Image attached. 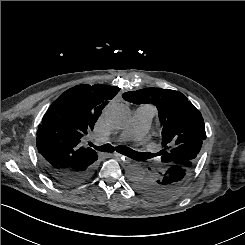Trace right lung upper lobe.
Here are the masks:
<instances>
[{"label": "right lung upper lobe", "instance_id": "obj_1", "mask_svg": "<svg viewBox=\"0 0 245 245\" xmlns=\"http://www.w3.org/2000/svg\"><path fill=\"white\" fill-rule=\"evenodd\" d=\"M120 88L102 84L78 85L61 94L45 113L37 131L42 162L63 170H79L97 160V153L82 146L103 108Z\"/></svg>", "mask_w": 245, "mask_h": 245}]
</instances>
